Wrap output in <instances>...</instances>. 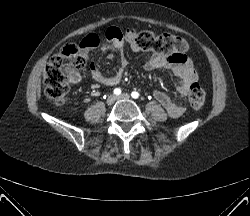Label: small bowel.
<instances>
[{
    "mask_svg": "<svg viewBox=\"0 0 250 216\" xmlns=\"http://www.w3.org/2000/svg\"><path fill=\"white\" fill-rule=\"evenodd\" d=\"M99 43L100 39L96 34L86 36L80 43V53L82 57L84 59H89L91 50L97 47ZM113 44L119 52L123 53L125 47L124 39H114ZM131 48L133 51H139V48L134 44H131ZM127 65L128 61L124 55H122L120 59V67L114 75L109 77L103 75L94 63H90V74L92 79L101 85L115 86L121 82ZM144 68L147 71L158 69L169 71L170 75L177 80V92L183 97L189 93L190 84L197 79V74L191 61L184 54L170 56L154 54L145 62ZM71 81L73 83L79 82V74L75 73L72 76ZM154 97L166 109L171 117L177 118L183 114L184 105L175 102L166 93L155 91Z\"/></svg>",
    "mask_w": 250,
    "mask_h": 216,
    "instance_id": "1",
    "label": "small bowel"
}]
</instances>
